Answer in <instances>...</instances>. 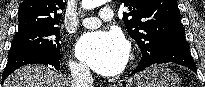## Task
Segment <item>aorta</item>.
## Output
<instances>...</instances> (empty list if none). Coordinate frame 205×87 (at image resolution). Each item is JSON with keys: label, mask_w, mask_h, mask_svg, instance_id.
<instances>
[{"label": "aorta", "mask_w": 205, "mask_h": 87, "mask_svg": "<svg viewBox=\"0 0 205 87\" xmlns=\"http://www.w3.org/2000/svg\"><path fill=\"white\" fill-rule=\"evenodd\" d=\"M105 2L106 0H82L81 5L82 8L90 10L103 5Z\"/></svg>", "instance_id": "aorta-1"}]
</instances>
